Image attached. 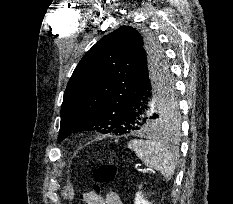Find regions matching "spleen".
<instances>
[{
    "mask_svg": "<svg viewBox=\"0 0 233 204\" xmlns=\"http://www.w3.org/2000/svg\"><path fill=\"white\" fill-rule=\"evenodd\" d=\"M128 148L149 168L159 171L164 180L170 181L177 165L174 148H169L156 140L134 139L128 142Z\"/></svg>",
    "mask_w": 233,
    "mask_h": 204,
    "instance_id": "obj_1",
    "label": "spleen"
}]
</instances>
